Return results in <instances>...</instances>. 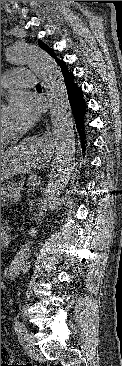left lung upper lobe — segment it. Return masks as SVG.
Wrapping results in <instances>:
<instances>
[{
  "label": "left lung upper lobe",
  "instance_id": "obj_1",
  "mask_svg": "<svg viewBox=\"0 0 122 366\" xmlns=\"http://www.w3.org/2000/svg\"><path fill=\"white\" fill-rule=\"evenodd\" d=\"M39 46L44 49L47 53H49L55 60H58V58L55 57L54 55V51L52 49H50L49 47H47L45 44L41 43L39 41Z\"/></svg>",
  "mask_w": 122,
  "mask_h": 366
}]
</instances>
